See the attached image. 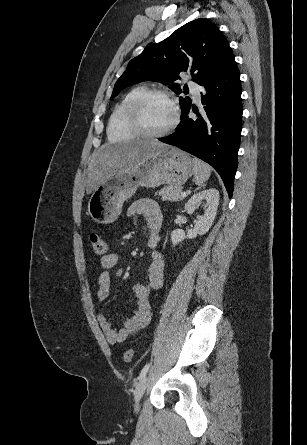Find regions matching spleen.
Wrapping results in <instances>:
<instances>
[{"label":"spleen","instance_id":"3e777b00","mask_svg":"<svg viewBox=\"0 0 307 445\" xmlns=\"http://www.w3.org/2000/svg\"><path fill=\"white\" fill-rule=\"evenodd\" d=\"M193 172L194 182H196L198 186H203L211 174V166L206 164V162H202L199 158H193Z\"/></svg>","mask_w":307,"mask_h":445}]
</instances>
